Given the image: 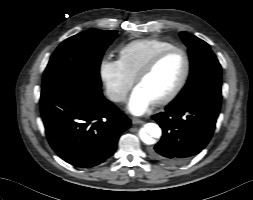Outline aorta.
Masks as SVG:
<instances>
[{
	"instance_id": "762f6f07",
	"label": "aorta",
	"mask_w": 253,
	"mask_h": 200,
	"mask_svg": "<svg viewBox=\"0 0 253 200\" xmlns=\"http://www.w3.org/2000/svg\"><path fill=\"white\" fill-rule=\"evenodd\" d=\"M161 136V129L155 123H147L144 126V130L140 131V138L146 144H151L153 138H159Z\"/></svg>"
}]
</instances>
